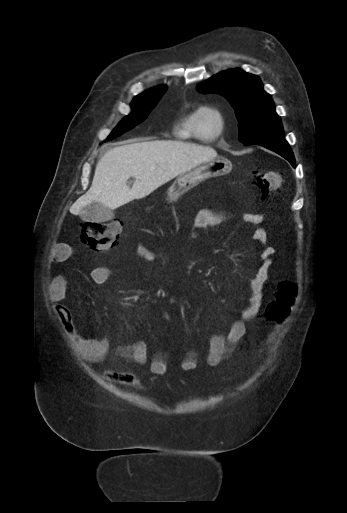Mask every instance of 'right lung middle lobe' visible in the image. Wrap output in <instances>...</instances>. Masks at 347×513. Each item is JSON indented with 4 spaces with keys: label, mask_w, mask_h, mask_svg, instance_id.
<instances>
[{
    "label": "right lung middle lobe",
    "mask_w": 347,
    "mask_h": 513,
    "mask_svg": "<svg viewBox=\"0 0 347 513\" xmlns=\"http://www.w3.org/2000/svg\"><path fill=\"white\" fill-rule=\"evenodd\" d=\"M166 89V86H159L135 97L131 104L132 113L119 123L104 142L116 138L145 120L150 111L157 105Z\"/></svg>",
    "instance_id": "obj_1"
}]
</instances>
